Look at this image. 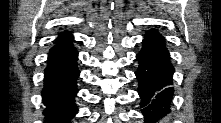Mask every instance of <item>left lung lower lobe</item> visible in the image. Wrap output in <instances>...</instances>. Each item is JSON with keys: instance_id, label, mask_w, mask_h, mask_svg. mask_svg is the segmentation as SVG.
Wrapping results in <instances>:
<instances>
[{"instance_id": "obj_1", "label": "left lung lower lobe", "mask_w": 221, "mask_h": 123, "mask_svg": "<svg viewBox=\"0 0 221 123\" xmlns=\"http://www.w3.org/2000/svg\"><path fill=\"white\" fill-rule=\"evenodd\" d=\"M136 59L139 63L135 74L139 82L141 112L146 120H154L169 110L174 91L171 87L174 68L165 38L155 29L147 32Z\"/></svg>"}]
</instances>
